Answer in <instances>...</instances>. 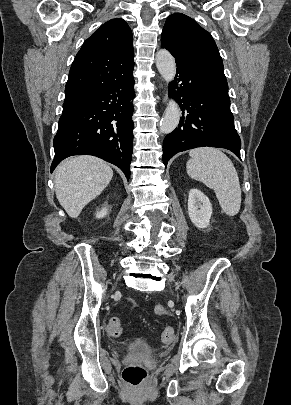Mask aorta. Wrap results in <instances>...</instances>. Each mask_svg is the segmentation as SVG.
I'll use <instances>...</instances> for the list:
<instances>
[{"label":"aorta","mask_w":291,"mask_h":405,"mask_svg":"<svg viewBox=\"0 0 291 405\" xmlns=\"http://www.w3.org/2000/svg\"><path fill=\"white\" fill-rule=\"evenodd\" d=\"M156 67L167 83L173 81L176 74V64L173 56L168 50L161 49L157 52ZM179 120V106L175 100L170 99L160 123V131L165 134L171 133L178 126Z\"/></svg>","instance_id":"obj_1"}]
</instances>
